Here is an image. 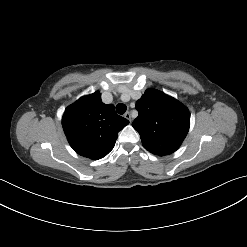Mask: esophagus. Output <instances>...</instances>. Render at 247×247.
Segmentation results:
<instances>
[{
	"label": "esophagus",
	"instance_id": "obj_1",
	"mask_svg": "<svg viewBox=\"0 0 247 247\" xmlns=\"http://www.w3.org/2000/svg\"><path fill=\"white\" fill-rule=\"evenodd\" d=\"M124 117H125L126 119H128V120L131 122V115H130L129 112H126V113L124 114Z\"/></svg>",
	"mask_w": 247,
	"mask_h": 247
}]
</instances>
